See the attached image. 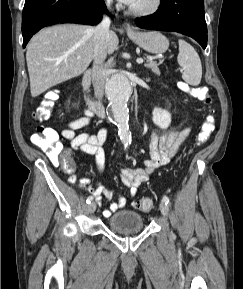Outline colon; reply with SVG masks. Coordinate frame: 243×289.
Listing matches in <instances>:
<instances>
[{
	"instance_id": "colon-1",
	"label": "colon",
	"mask_w": 243,
	"mask_h": 289,
	"mask_svg": "<svg viewBox=\"0 0 243 289\" xmlns=\"http://www.w3.org/2000/svg\"><path fill=\"white\" fill-rule=\"evenodd\" d=\"M185 89L190 95L209 105L211 97L208 88L205 86L188 87ZM58 95L56 92H50L46 95L45 99L41 102L39 107L34 112V117L38 121L47 120L54 108V103ZM215 128L214 117L210 114L206 117L205 121L201 124L200 131L197 135L196 145L204 144ZM31 141L43 149L51 162L60 166L65 172L71 173L75 169V163L70 153L63 151L62 145L59 142L58 133L51 128L38 127L35 132L31 134ZM134 207L141 211H151L154 208L153 202L148 198H142L134 202Z\"/></svg>"
}]
</instances>
